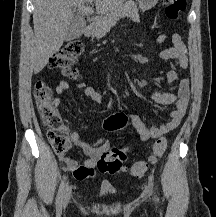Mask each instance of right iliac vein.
I'll return each mask as SVG.
<instances>
[{
    "label": "right iliac vein",
    "mask_w": 216,
    "mask_h": 217,
    "mask_svg": "<svg viewBox=\"0 0 216 217\" xmlns=\"http://www.w3.org/2000/svg\"><path fill=\"white\" fill-rule=\"evenodd\" d=\"M71 194V188H67L63 197L62 207L65 208L68 205Z\"/></svg>",
    "instance_id": "1"
}]
</instances>
